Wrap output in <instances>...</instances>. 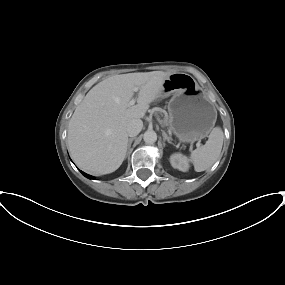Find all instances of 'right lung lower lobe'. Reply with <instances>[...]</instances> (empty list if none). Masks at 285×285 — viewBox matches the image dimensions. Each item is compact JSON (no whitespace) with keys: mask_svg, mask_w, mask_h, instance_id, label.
Segmentation results:
<instances>
[{"mask_svg":"<svg viewBox=\"0 0 285 285\" xmlns=\"http://www.w3.org/2000/svg\"><path fill=\"white\" fill-rule=\"evenodd\" d=\"M81 173H82L85 177H87V178H89V179H93L92 176H90V175H88V174H86V173H84V172H82V171H81Z\"/></svg>","mask_w":285,"mask_h":285,"instance_id":"right-lung-lower-lobe-1","label":"right lung lower lobe"}]
</instances>
